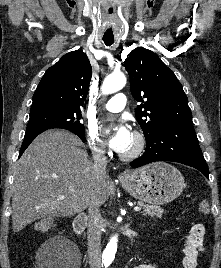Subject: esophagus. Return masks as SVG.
I'll return each instance as SVG.
<instances>
[{
  "label": "esophagus",
  "mask_w": 221,
  "mask_h": 268,
  "mask_svg": "<svg viewBox=\"0 0 221 268\" xmlns=\"http://www.w3.org/2000/svg\"><path fill=\"white\" fill-rule=\"evenodd\" d=\"M123 177H125V173H120L119 178H123Z\"/></svg>",
  "instance_id": "esophagus-1"
}]
</instances>
